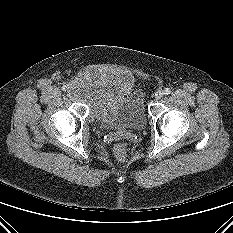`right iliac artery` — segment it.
<instances>
[{"label":"right iliac artery","mask_w":233,"mask_h":233,"mask_svg":"<svg viewBox=\"0 0 233 233\" xmlns=\"http://www.w3.org/2000/svg\"><path fill=\"white\" fill-rule=\"evenodd\" d=\"M62 89H63L64 91H66V90L69 89V86H68V85H64V86L62 87Z\"/></svg>","instance_id":"right-iliac-artery-1"}]
</instances>
